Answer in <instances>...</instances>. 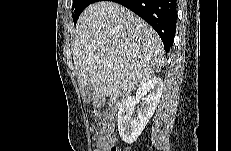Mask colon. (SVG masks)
Wrapping results in <instances>:
<instances>
[{
    "label": "colon",
    "mask_w": 231,
    "mask_h": 151,
    "mask_svg": "<svg viewBox=\"0 0 231 151\" xmlns=\"http://www.w3.org/2000/svg\"><path fill=\"white\" fill-rule=\"evenodd\" d=\"M98 131L99 139L105 143H111L113 141V129L108 121L107 116L104 113L98 114ZM110 151H119L115 147H111Z\"/></svg>",
    "instance_id": "5ec220e1"
}]
</instances>
